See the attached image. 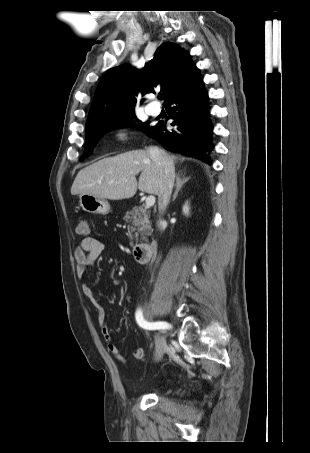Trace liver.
<instances>
[{
  "label": "liver",
  "instance_id": "1",
  "mask_svg": "<svg viewBox=\"0 0 310 453\" xmlns=\"http://www.w3.org/2000/svg\"><path fill=\"white\" fill-rule=\"evenodd\" d=\"M172 162L173 157L168 156ZM140 174L139 181L136 175ZM161 170L148 151L133 150L104 158L81 169L71 187V194H89L103 199L122 200L133 197L137 189L159 194Z\"/></svg>",
  "mask_w": 310,
  "mask_h": 453
}]
</instances>
